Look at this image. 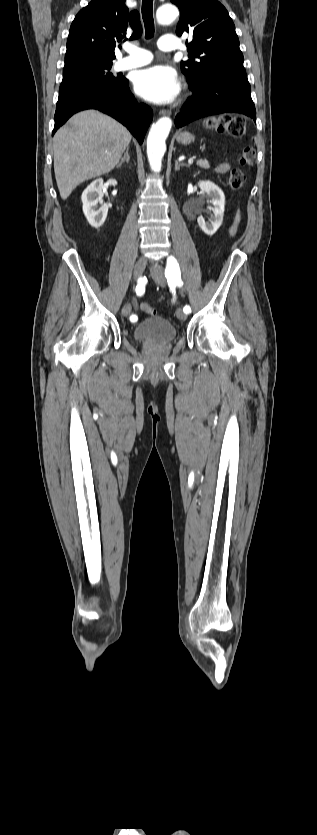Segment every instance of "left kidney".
Segmentation results:
<instances>
[{"instance_id":"1","label":"left kidney","mask_w":317,"mask_h":835,"mask_svg":"<svg viewBox=\"0 0 317 835\" xmlns=\"http://www.w3.org/2000/svg\"><path fill=\"white\" fill-rule=\"evenodd\" d=\"M198 186L208 197L207 203L210 204L208 206V210L210 211V220L205 221L203 216L200 215L197 218V222L200 228L207 235H213L223 222L225 195L217 185L209 180L200 181Z\"/></svg>"}]
</instances>
